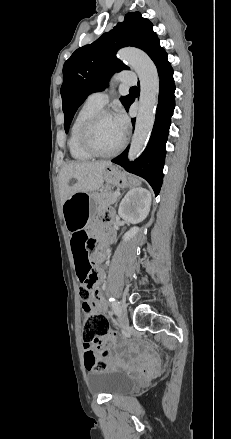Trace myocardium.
I'll return each instance as SVG.
<instances>
[{"label":"myocardium","instance_id":"myocardium-1","mask_svg":"<svg viewBox=\"0 0 231 439\" xmlns=\"http://www.w3.org/2000/svg\"><path fill=\"white\" fill-rule=\"evenodd\" d=\"M106 116H112V113L106 109H99L93 113L83 124L80 132V142L82 147L93 157L110 158L120 153L125 146V139L122 138L120 144L108 152L100 151L93 142V131L97 123Z\"/></svg>","mask_w":231,"mask_h":439}]
</instances>
